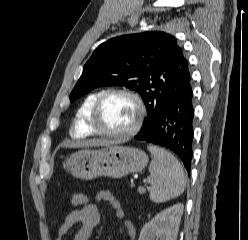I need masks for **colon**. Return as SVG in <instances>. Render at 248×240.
<instances>
[{"instance_id": "obj_1", "label": "colon", "mask_w": 248, "mask_h": 240, "mask_svg": "<svg viewBox=\"0 0 248 240\" xmlns=\"http://www.w3.org/2000/svg\"><path fill=\"white\" fill-rule=\"evenodd\" d=\"M89 199L85 193H75L71 199L70 203L74 208H80L88 203Z\"/></svg>"}]
</instances>
